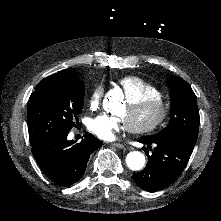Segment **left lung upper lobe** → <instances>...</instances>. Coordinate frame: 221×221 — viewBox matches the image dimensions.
I'll use <instances>...</instances> for the list:
<instances>
[{"instance_id":"1","label":"left lung upper lobe","mask_w":221,"mask_h":221,"mask_svg":"<svg viewBox=\"0 0 221 221\" xmlns=\"http://www.w3.org/2000/svg\"><path fill=\"white\" fill-rule=\"evenodd\" d=\"M167 82L171 91L170 123L160 133L152 136L172 135L195 145L200 121L196 95L191 86L180 77H170Z\"/></svg>"}]
</instances>
